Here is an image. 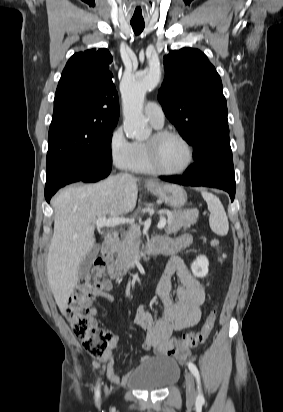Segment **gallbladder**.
Masks as SVG:
<instances>
[{
	"label": "gallbladder",
	"instance_id": "gallbladder-1",
	"mask_svg": "<svg viewBox=\"0 0 283 412\" xmlns=\"http://www.w3.org/2000/svg\"><path fill=\"white\" fill-rule=\"evenodd\" d=\"M98 251H99V247L94 246L92 248V250L86 255L84 260L81 262L80 268H79V276L80 277L85 275L90 270V268L92 266V263H93L96 255H97Z\"/></svg>",
	"mask_w": 283,
	"mask_h": 412
}]
</instances>
